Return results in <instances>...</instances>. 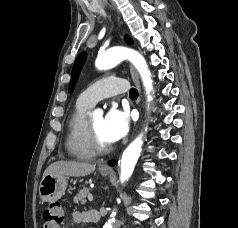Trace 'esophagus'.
<instances>
[{"label": "esophagus", "mask_w": 238, "mask_h": 228, "mask_svg": "<svg viewBox=\"0 0 238 228\" xmlns=\"http://www.w3.org/2000/svg\"><path fill=\"white\" fill-rule=\"evenodd\" d=\"M130 73H131L132 79H133L134 83L136 84L138 91H139V98H138V103H139L140 99H141V85H140L139 77L132 66H130ZM104 169L111 170V168L109 166H104Z\"/></svg>", "instance_id": "1"}]
</instances>
